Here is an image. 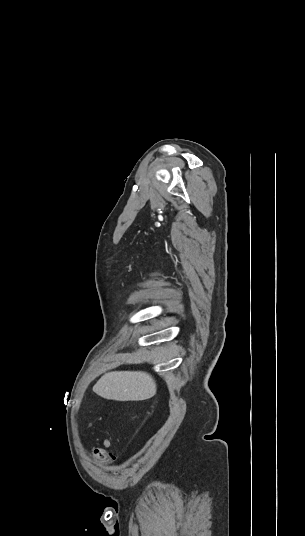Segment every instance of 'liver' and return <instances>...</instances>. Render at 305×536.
Returning <instances> with one entry per match:
<instances>
[{"label":"liver","mask_w":305,"mask_h":536,"mask_svg":"<svg viewBox=\"0 0 305 536\" xmlns=\"http://www.w3.org/2000/svg\"><path fill=\"white\" fill-rule=\"evenodd\" d=\"M93 392L106 400L140 402L155 396L157 386L146 372H109L93 386Z\"/></svg>","instance_id":"obj_1"}]
</instances>
